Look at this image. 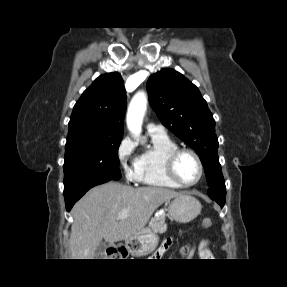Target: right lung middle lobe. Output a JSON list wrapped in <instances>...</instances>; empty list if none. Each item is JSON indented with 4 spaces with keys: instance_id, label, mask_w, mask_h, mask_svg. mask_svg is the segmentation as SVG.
Returning a JSON list of instances; mask_svg holds the SVG:
<instances>
[{
    "instance_id": "right-lung-middle-lobe-1",
    "label": "right lung middle lobe",
    "mask_w": 287,
    "mask_h": 287,
    "mask_svg": "<svg viewBox=\"0 0 287 287\" xmlns=\"http://www.w3.org/2000/svg\"><path fill=\"white\" fill-rule=\"evenodd\" d=\"M122 135H96L88 128L69 131L65 148L64 190L86 179L118 180Z\"/></svg>"
}]
</instances>
